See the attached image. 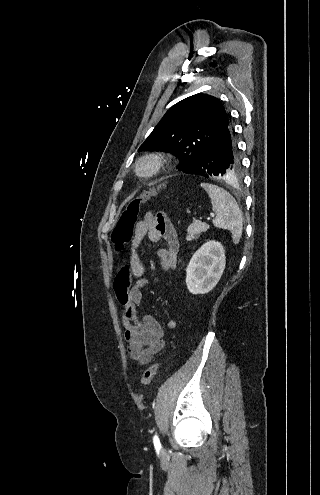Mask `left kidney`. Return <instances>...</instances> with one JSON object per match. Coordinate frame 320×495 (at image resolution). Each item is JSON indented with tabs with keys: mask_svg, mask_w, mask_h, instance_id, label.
Instances as JSON below:
<instances>
[{
	"mask_svg": "<svg viewBox=\"0 0 320 495\" xmlns=\"http://www.w3.org/2000/svg\"><path fill=\"white\" fill-rule=\"evenodd\" d=\"M225 250L221 243L208 241L192 256L186 268V285L192 294H206L219 282L225 269Z\"/></svg>",
	"mask_w": 320,
	"mask_h": 495,
	"instance_id": "left-kidney-1",
	"label": "left kidney"
}]
</instances>
